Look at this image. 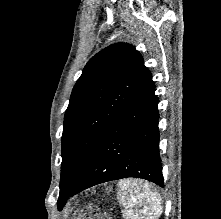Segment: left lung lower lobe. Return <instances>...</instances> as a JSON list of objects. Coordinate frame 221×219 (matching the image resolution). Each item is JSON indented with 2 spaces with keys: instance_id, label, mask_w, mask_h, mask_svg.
<instances>
[{
  "instance_id": "0a47b994",
  "label": "left lung lower lobe",
  "mask_w": 221,
  "mask_h": 219,
  "mask_svg": "<svg viewBox=\"0 0 221 219\" xmlns=\"http://www.w3.org/2000/svg\"><path fill=\"white\" fill-rule=\"evenodd\" d=\"M157 105L155 85L150 78L106 130L69 197L91 186L127 177L143 178L164 186Z\"/></svg>"
}]
</instances>
